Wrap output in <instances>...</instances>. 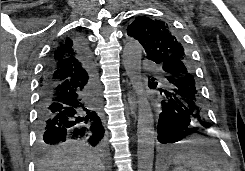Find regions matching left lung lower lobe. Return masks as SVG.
Instances as JSON below:
<instances>
[{
    "mask_svg": "<svg viewBox=\"0 0 245 171\" xmlns=\"http://www.w3.org/2000/svg\"><path fill=\"white\" fill-rule=\"evenodd\" d=\"M160 66L167 87H159L155 78L149 82L150 88L163 95L157 125L158 141L162 144L178 142L189 134L193 125L201 131L210 128L192 68L175 58Z\"/></svg>",
    "mask_w": 245,
    "mask_h": 171,
    "instance_id": "obj_1",
    "label": "left lung lower lobe"
}]
</instances>
